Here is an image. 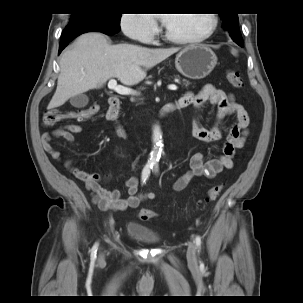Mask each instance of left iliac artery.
<instances>
[{
	"label": "left iliac artery",
	"mask_w": 303,
	"mask_h": 303,
	"mask_svg": "<svg viewBox=\"0 0 303 303\" xmlns=\"http://www.w3.org/2000/svg\"><path fill=\"white\" fill-rule=\"evenodd\" d=\"M154 170L157 171V167H155ZM195 243H196L198 252H200V249H201V237L200 236H196Z\"/></svg>",
	"instance_id": "obj_1"
}]
</instances>
